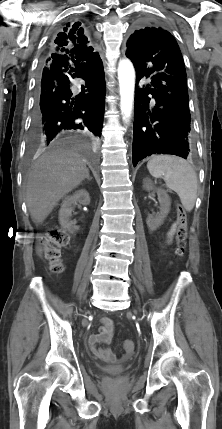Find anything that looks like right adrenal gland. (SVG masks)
<instances>
[{
    "mask_svg": "<svg viewBox=\"0 0 222 429\" xmlns=\"http://www.w3.org/2000/svg\"><path fill=\"white\" fill-rule=\"evenodd\" d=\"M86 179H87L88 181H91V180H92V177H90L89 173L87 174Z\"/></svg>",
    "mask_w": 222,
    "mask_h": 429,
    "instance_id": "1",
    "label": "right adrenal gland"
}]
</instances>
